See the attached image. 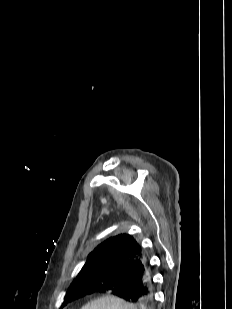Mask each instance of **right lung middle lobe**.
Instances as JSON below:
<instances>
[{"instance_id":"dd1d6c3e","label":"right lung middle lobe","mask_w":232,"mask_h":309,"mask_svg":"<svg viewBox=\"0 0 232 309\" xmlns=\"http://www.w3.org/2000/svg\"><path fill=\"white\" fill-rule=\"evenodd\" d=\"M128 274L113 273L107 271H96L94 273H87L75 279L69 287L62 307L86 295L87 288L91 285L93 287L102 285L105 281L113 283L117 280L127 281Z\"/></svg>"}]
</instances>
